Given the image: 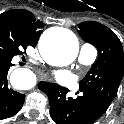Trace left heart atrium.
Segmentation results:
<instances>
[{"label": "left heart atrium", "mask_w": 124, "mask_h": 124, "mask_svg": "<svg viewBox=\"0 0 124 124\" xmlns=\"http://www.w3.org/2000/svg\"><path fill=\"white\" fill-rule=\"evenodd\" d=\"M55 78L62 85H69L74 80L73 75L69 71H59L55 74Z\"/></svg>", "instance_id": "obj_1"}]
</instances>
